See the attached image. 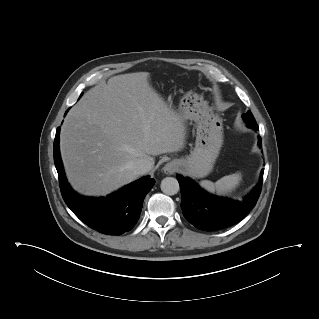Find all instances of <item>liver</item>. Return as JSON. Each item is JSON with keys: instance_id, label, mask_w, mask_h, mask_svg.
<instances>
[{"instance_id": "6515ba94", "label": "liver", "mask_w": 319, "mask_h": 319, "mask_svg": "<svg viewBox=\"0 0 319 319\" xmlns=\"http://www.w3.org/2000/svg\"><path fill=\"white\" fill-rule=\"evenodd\" d=\"M150 73L111 77L68 112L60 152L68 181L81 194L105 196L134 181L138 159L179 151L184 119L149 83ZM153 167V166H152Z\"/></svg>"}]
</instances>
